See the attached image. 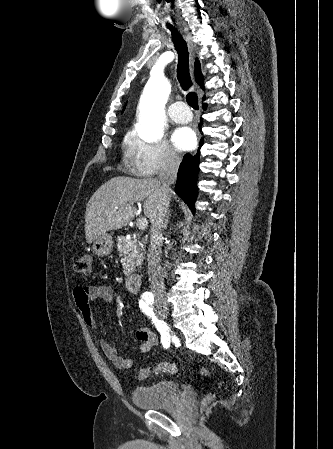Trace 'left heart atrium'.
<instances>
[{
  "label": "left heart atrium",
  "mask_w": 333,
  "mask_h": 449,
  "mask_svg": "<svg viewBox=\"0 0 333 449\" xmlns=\"http://www.w3.org/2000/svg\"><path fill=\"white\" fill-rule=\"evenodd\" d=\"M172 142L177 149L188 150L194 146L196 136L192 129L188 127H181L174 131L172 135Z\"/></svg>",
  "instance_id": "39dd6f15"
}]
</instances>
